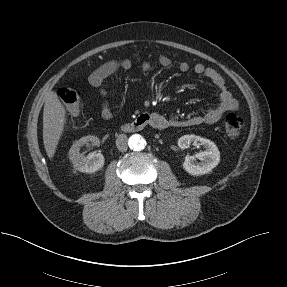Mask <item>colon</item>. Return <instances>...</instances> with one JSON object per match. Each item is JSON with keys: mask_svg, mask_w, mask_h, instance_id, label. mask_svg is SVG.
<instances>
[{"mask_svg": "<svg viewBox=\"0 0 287 287\" xmlns=\"http://www.w3.org/2000/svg\"><path fill=\"white\" fill-rule=\"evenodd\" d=\"M60 100L66 105L70 114H77L80 106V92L71 85H65L58 90ZM225 132L230 137L239 135L244 125L243 117L237 113L231 112L225 115L223 119Z\"/></svg>", "mask_w": 287, "mask_h": 287, "instance_id": "5ec220e1", "label": "colon"}]
</instances>
